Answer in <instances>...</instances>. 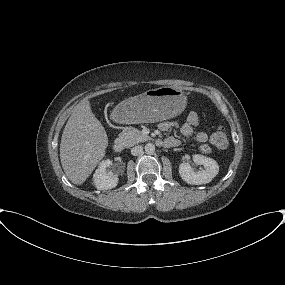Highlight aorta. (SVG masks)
<instances>
[{
  "mask_svg": "<svg viewBox=\"0 0 285 285\" xmlns=\"http://www.w3.org/2000/svg\"><path fill=\"white\" fill-rule=\"evenodd\" d=\"M145 152L147 154H153L155 152V145L153 143H147L145 145Z\"/></svg>",
  "mask_w": 285,
  "mask_h": 285,
  "instance_id": "762f6f07",
  "label": "aorta"
}]
</instances>
